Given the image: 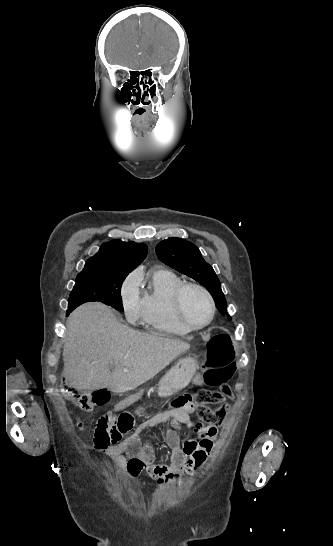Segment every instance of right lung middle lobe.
I'll use <instances>...</instances> for the list:
<instances>
[{
  "instance_id": "dd1d6c3e",
  "label": "right lung middle lobe",
  "mask_w": 333,
  "mask_h": 546,
  "mask_svg": "<svg viewBox=\"0 0 333 546\" xmlns=\"http://www.w3.org/2000/svg\"><path fill=\"white\" fill-rule=\"evenodd\" d=\"M131 271L97 267L78 275L68 300V313L90 301H99L118 311H124L121 285Z\"/></svg>"
}]
</instances>
